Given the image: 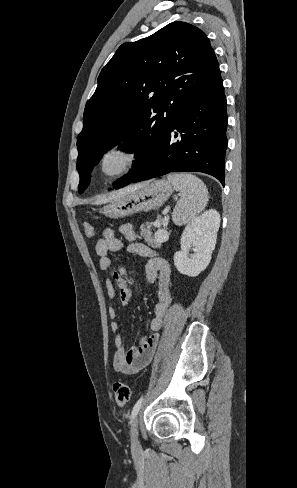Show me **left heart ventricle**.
Instances as JSON below:
<instances>
[{
  "label": "left heart ventricle",
  "instance_id": "left-heart-ventricle-1",
  "mask_svg": "<svg viewBox=\"0 0 297 488\" xmlns=\"http://www.w3.org/2000/svg\"><path fill=\"white\" fill-rule=\"evenodd\" d=\"M129 155L124 151L110 153L104 162V169L107 174H113L121 170L128 162Z\"/></svg>",
  "mask_w": 297,
  "mask_h": 488
}]
</instances>
